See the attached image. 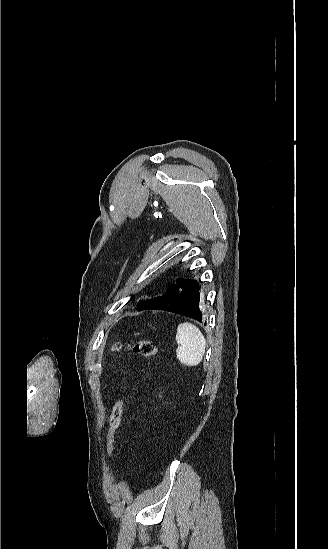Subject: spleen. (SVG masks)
Instances as JSON below:
<instances>
[{
	"mask_svg": "<svg viewBox=\"0 0 328 549\" xmlns=\"http://www.w3.org/2000/svg\"><path fill=\"white\" fill-rule=\"evenodd\" d=\"M177 359L185 367H196L201 363L205 349L206 339L200 329L192 323H181L176 333Z\"/></svg>",
	"mask_w": 328,
	"mask_h": 549,
	"instance_id": "3e777b00",
	"label": "spleen"
}]
</instances>
